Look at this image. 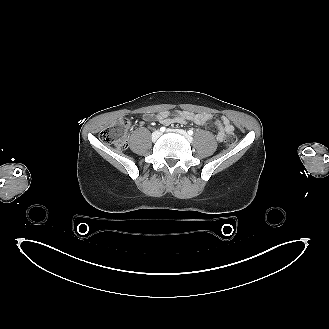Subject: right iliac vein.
Returning <instances> with one entry per match:
<instances>
[{"label": "right iliac vein", "instance_id": "right-iliac-vein-1", "mask_svg": "<svg viewBox=\"0 0 329 329\" xmlns=\"http://www.w3.org/2000/svg\"><path fill=\"white\" fill-rule=\"evenodd\" d=\"M161 133L156 131L152 134V140L156 141L160 137Z\"/></svg>", "mask_w": 329, "mask_h": 329}]
</instances>
